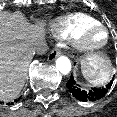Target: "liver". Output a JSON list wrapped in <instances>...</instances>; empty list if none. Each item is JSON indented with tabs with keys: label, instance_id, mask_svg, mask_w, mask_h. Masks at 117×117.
Wrapping results in <instances>:
<instances>
[{
	"label": "liver",
	"instance_id": "1",
	"mask_svg": "<svg viewBox=\"0 0 117 117\" xmlns=\"http://www.w3.org/2000/svg\"><path fill=\"white\" fill-rule=\"evenodd\" d=\"M44 36L43 25L29 23L21 12L0 11V101L20 94L33 49Z\"/></svg>",
	"mask_w": 117,
	"mask_h": 117
}]
</instances>
